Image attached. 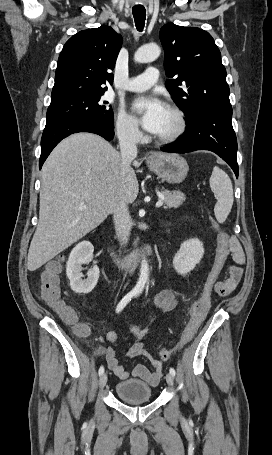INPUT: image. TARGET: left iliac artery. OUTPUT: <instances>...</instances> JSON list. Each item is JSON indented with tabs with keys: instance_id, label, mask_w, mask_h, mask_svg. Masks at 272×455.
<instances>
[{
	"instance_id": "obj_1",
	"label": "left iliac artery",
	"mask_w": 272,
	"mask_h": 455,
	"mask_svg": "<svg viewBox=\"0 0 272 455\" xmlns=\"http://www.w3.org/2000/svg\"><path fill=\"white\" fill-rule=\"evenodd\" d=\"M170 374L175 376L176 372H175V369L174 368H170Z\"/></svg>"
}]
</instances>
